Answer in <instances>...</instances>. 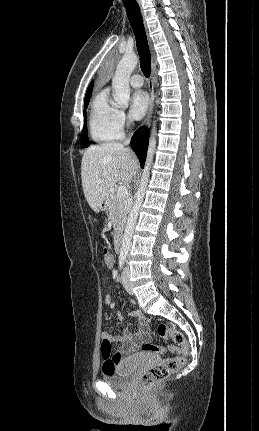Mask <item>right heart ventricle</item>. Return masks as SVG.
Wrapping results in <instances>:
<instances>
[{
    "mask_svg": "<svg viewBox=\"0 0 259 431\" xmlns=\"http://www.w3.org/2000/svg\"><path fill=\"white\" fill-rule=\"evenodd\" d=\"M115 112L116 108L108 101L107 90L99 91L91 102L88 116L89 134L93 141L106 143L122 136L115 122Z\"/></svg>",
    "mask_w": 259,
    "mask_h": 431,
    "instance_id": "1",
    "label": "right heart ventricle"
}]
</instances>
